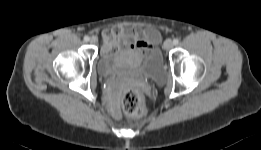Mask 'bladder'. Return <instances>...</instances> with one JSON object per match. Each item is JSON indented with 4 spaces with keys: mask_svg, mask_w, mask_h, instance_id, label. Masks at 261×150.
I'll use <instances>...</instances> for the list:
<instances>
[{
    "mask_svg": "<svg viewBox=\"0 0 261 150\" xmlns=\"http://www.w3.org/2000/svg\"><path fill=\"white\" fill-rule=\"evenodd\" d=\"M98 71L103 76L139 74L156 82H162L166 77L163 55L158 46L148 51H139L128 45L104 48L99 57Z\"/></svg>",
    "mask_w": 261,
    "mask_h": 150,
    "instance_id": "obj_1",
    "label": "bladder"
}]
</instances>
